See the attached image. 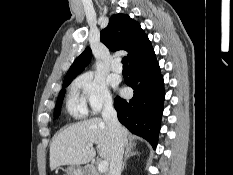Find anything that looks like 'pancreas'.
I'll use <instances>...</instances> for the list:
<instances>
[{"instance_id":"pancreas-1","label":"pancreas","mask_w":233,"mask_h":175,"mask_svg":"<svg viewBox=\"0 0 233 175\" xmlns=\"http://www.w3.org/2000/svg\"><path fill=\"white\" fill-rule=\"evenodd\" d=\"M93 175H99L98 173H95V174H93Z\"/></svg>"}]
</instances>
